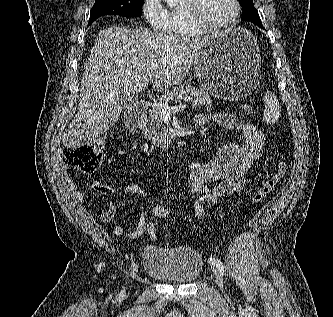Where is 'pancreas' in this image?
<instances>
[{
    "instance_id": "1",
    "label": "pancreas",
    "mask_w": 333,
    "mask_h": 317,
    "mask_svg": "<svg viewBox=\"0 0 333 317\" xmlns=\"http://www.w3.org/2000/svg\"><path fill=\"white\" fill-rule=\"evenodd\" d=\"M179 96L193 97L192 107L194 108H201L212 103L208 92L191 85L174 87L172 91L164 93L158 102L152 105V109L149 111V126L143 131L145 138L152 140L157 146L169 145L174 138V135L169 132L168 127L162 125V108L164 105H169L173 100L178 101Z\"/></svg>"
}]
</instances>
